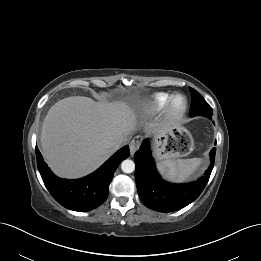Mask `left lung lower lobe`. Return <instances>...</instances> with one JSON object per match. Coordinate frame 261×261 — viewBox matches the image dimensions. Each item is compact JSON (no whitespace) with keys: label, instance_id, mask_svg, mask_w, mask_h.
I'll list each match as a JSON object with an SVG mask.
<instances>
[{"label":"left lung lower lobe","instance_id":"1","mask_svg":"<svg viewBox=\"0 0 261 261\" xmlns=\"http://www.w3.org/2000/svg\"><path fill=\"white\" fill-rule=\"evenodd\" d=\"M215 153L216 148H213L210 152L211 164L203 177L188 184H171L157 173L149 149V140L145 139L134 155L135 181L143 204L159 212H173L189 205L206 186L214 166Z\"/></svg>","mask_w":261,"mask_h":261}]
</instances>
